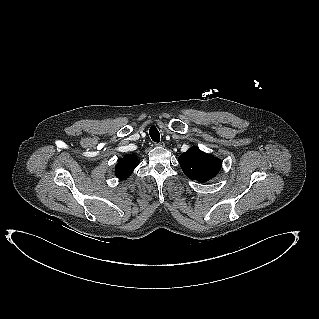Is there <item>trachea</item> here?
<instances>
[{
	"instance_id": "1",
	"label": "trachea",
	"mask_w": 319,
	"mask_h": 319,
	"mask_svg": "<svg viewBox=\"0 0 319 319\" xmlns=\"http://www.w3.org/2000/svg\"><path fill=\"white\" fill-rule=\"evenodd\" d=\"M149 134L154 142H160V133L156 127L152 126L149 130Z\"/></svg>"
}]
</instances>
